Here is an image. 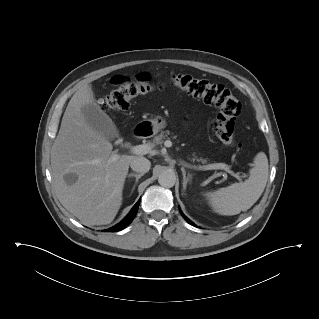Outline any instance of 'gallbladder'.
<instances>
[{
  "label": "gallbladder",
  "instance_id": "gallbladder-1",
  "mask_svg": "<svg viewBox=\"0 0 319 319\" xmlns=\"http://www.w3.org/2000/svg\"><path fill=\"white\" fill-rule=\"evenodd\" d=\"M82 113L88 125L101 133L107 140L119 137L116 126L97 104L92 103L84 106Z\"/></svg>",
  "mask_w": 319,
  "mask_h": 319
}]
</instances>
